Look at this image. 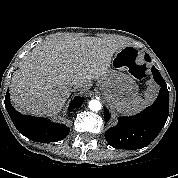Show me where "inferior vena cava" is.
<instances>
[{
  "instance_id": "obj_1",
  "label": "inferior vena cava",
  "mask_w": 178,
  "mask_h": 178,
  "mask_svg": "<svg viewBox=\"0 0 178 178\" xmlns=\"http://www.w3.org/2000/svg\"><path fill=\"white\" fill-rule=\"evenodd\" d=\"M71 85H72V88H73L74 90H77V89L79 88V85H78V83H77L76 81H73V82L71 83Z\"/></svg>"
}]
</instances>
